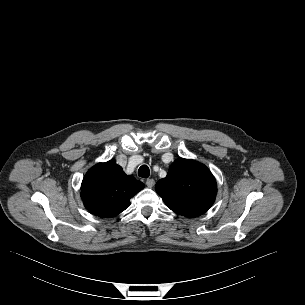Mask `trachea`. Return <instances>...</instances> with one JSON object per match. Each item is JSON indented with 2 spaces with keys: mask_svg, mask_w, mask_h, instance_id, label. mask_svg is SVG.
Segmentation results:
<instances>
[{
  "mask_svg": "<svg viewBox=\"0 0 305 305\" xmlns=\"http://www.w3.org/2000/svg\"><path fill=\"white\" fill-rule=\"evenodd\" d=\"M138 175L142 178H148L150 175V170L148 166L142 165L138 170Z\"/></svg>",
  "mask_w": 305,
  "mask_h": 305,
  "instance_id": "obj_1",
  "label": "trachea"
}]
</instances>
